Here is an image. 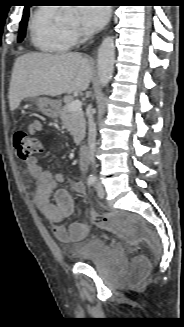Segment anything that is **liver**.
I'll return each instance as SVG.
<instances>
[{
    "label": "liver",
    "mask_w": 184,
    "mask_h": 327,
    "mask_svg": "<svg viewBox=\"0 0 184 327\" xmlns=\"http://www.w3.org/2000/svg\"><path fill=\"white\" fill-rule=\"evenodd\" d=\"M92 79V62L77 52L27 53L14 63L9 106L14 111L26 97L81 93Z\"/></svg>",
    "instance_id": "liver-1"
}]
</instances>
